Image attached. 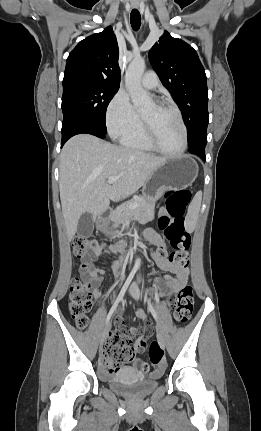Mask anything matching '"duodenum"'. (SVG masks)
Wrapping results in <instances>:
<instances>
[{
  "label": "duodenum",
  "mask_w": 261,
  "mask_h": 431,
  "mask_svg": "<svg viewBox=\"0 0 261 431\" xmlns=\"http://www.w3.org/2000/svg\"><path fill=\"white\" fill-rule=\"evenodd\" d=\"M100 225H104V223H105V218H101V220H100ZM122 247V244H115L113 247H112V251L113 252H118L119 250H120V248Z\"/></svg>",
  "instance_id": "duodenum-1"
}]
</instances>
